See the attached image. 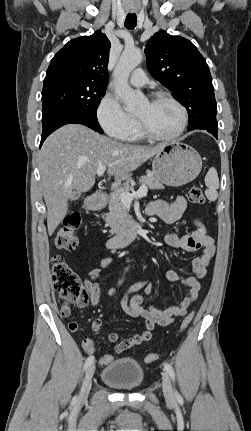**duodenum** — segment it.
<instances>
[{
    "instance_id": "obj_1",
    "label": "duodenum",
    "mask_w": 251,
    "mask_h": 431,
    "mask_svg": "<svg viewBox=\"0 0 251 431\" xmlns=\"http://www.w3.org/2000/svg\"><path fill=\"white\" fill-rule=\"evenodd\" d=\"M87 204L90 209L96 210L102 204V198L99 195H93L89 198ZM140 229V223H133L132 225L123 228L107 241V247L115 249L128 245L136 238Z\"/></svg>"
}]
</instances>
